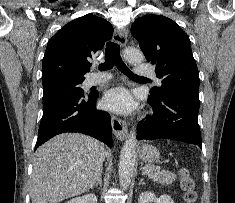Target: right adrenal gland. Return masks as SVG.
Here are the masks:
<instances>
[{
	"mask_svg": "<svg viewBox=\"0 0 235 203\" xmlns=\"http://www.w3.org/2000/svg\"><path fill=\"white\" fill-rule=\"evenodd\" d=\"M102 173V172H101ZM101 173L99 174V177L97 179V182L95 183V187H98L99 185H102V176Z\"/></svg>",
	"mask_w": 235,
	"mask_h": 203,
	"instance_id": "2a0ac1e0",
	"label": "right adrenal gland"
}]
</instances>
